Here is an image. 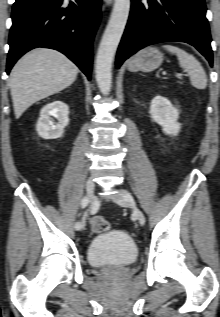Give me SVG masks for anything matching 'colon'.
Returning <instances> with one entry per match:
<instances>
[{"label": "colon", "mask_w": 220, "mask_h": 317, "mask_svg": "<svg viewBox=\"0 0 220 317\" xmlns=\"http://www.w3.org/2000/svg\"><path fill=\"white\" fill-rule=\"evenodd\" d=\"M91 229L94 233H102L109 229V222L101 216H96L91 219Z\"/></svg>", "instance_id": "obj_1"}]
</instances>
